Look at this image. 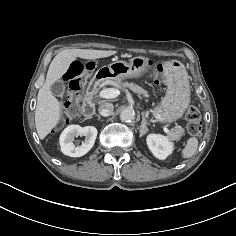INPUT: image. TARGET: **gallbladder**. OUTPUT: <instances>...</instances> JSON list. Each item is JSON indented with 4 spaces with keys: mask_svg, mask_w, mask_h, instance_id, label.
I'll return each mask as SVG.
<instances>
[{
    "mask_svg": "<svg viewBox=\"0 0 236 236\" xmlns=\"http://www.w3.org/2000/svg\"><path fill=\"white\" fill-rule=\"evenodd\" d=\"M50 90L54 96H62L65 92V85L61 80H58L51 85Z\"/></svg>",
    "mask_w": 236,
    "mask_h": 236,
    "instance_id": "bac80fb5",
    "label": "gallbladder"
}]
</instances>
